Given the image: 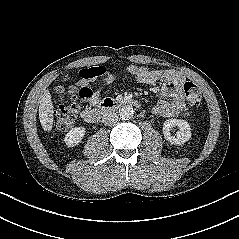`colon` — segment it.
Returning a JSON list of instances; mask_svg holds the SVG:
<instances>
[{
	"mask_svg": "<svg viewBox=\"0 0 239 239\" xmlns=\"http://www.w3.org/2000/svg\"><path fill=\"white\" fill-rule=\"evenodd\" d=\"M107 70L103 67H98L93 70V75H104ZM182 89L188 102L191 105L197 106L201 102V93L199 88L191 81H187L182 85ZM61 97L68 96L70 102L66 104H61L56 109V124L61 130H69L74 126L77 120L79 108L75 103V92L71 88L63 87L60 89Z\"/></svg>",
	"mask_w": 239,
	"mask_h": 239,
	"instance_id": "colon-1",
	"label": "colon"
}]
</instances>
